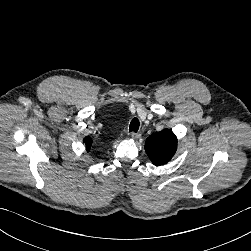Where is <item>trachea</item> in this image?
Masks as SVG:
<instances>
[{
	"label": "trachea",
	"instance_id": "1",
	"mask_svg": "<svg viewBox=\"0 0 251 251\" xmlns=\"http://www.w3.org/2000/svg\"><path fill=\"white\" fill-rule=\"evenodd\" d=\"M140 126V122L137 118H133L130 126H129V132H137Z\"/></svg>",
	"mask_w": 251,
	"mask_h": 251
}]
</instances>
